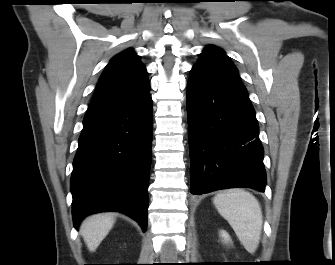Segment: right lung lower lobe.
<instances>
[{"mask_svg": "<svg viewBox=\"0 0 335 265\" xmlns=\"http://www.w3.org/2000/svg\"><path fill=\"white\" fill-rule=\"evenodd\" d=\"M152 100L89 110L73 162L74 226L92 213L119 211L147 228Z\"/></svg>", "mask_w": 335, "mask_h": 265, "instance_id": "98d812e1", "label": "right lung lower lobe"}]
</instances>
